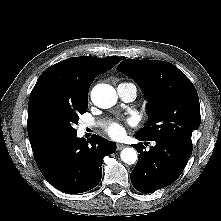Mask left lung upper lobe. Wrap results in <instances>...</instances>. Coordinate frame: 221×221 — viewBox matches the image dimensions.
Returning a JSON list of instances; mask_svg holds the SVG:
<instances>
[{
	"instance_id": "5c2ea615",
	"label": "left lung upper lobe",
	"mask_w": 221,
	"mask_h": 221,
	"mask_svg": "<svg viewBox=\"0 0 221 221\" xmlns=\"http://www.w3.org/2000/svg\"><path fill=\"white\" fill-rule=\"evenodd\" d=\"M142 87L149 99V123L136 133L146 139H168L188 149L200 125V104L192 82L166 61L125 59L117 67Z\"/></svg>"
}]
</instances>
